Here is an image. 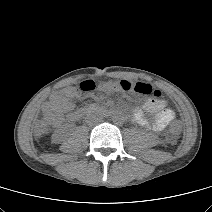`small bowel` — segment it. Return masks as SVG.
Returning a JSON list of instances; mask_svg holds the SVG:
<instances>
[{
  "instance_id": "obj_1",
  "label": "small bowel",
  "mask_w": 212,
  "mask_h": 212,
  "mask_svg": "<svg viewBox=\"0 0 212 212\" xmlns=\"http://www.w3.org/2000/svg\"><path fill=\"white\" fill-rule=\"evenodd\" d=\"M79 97L80 93L74 87L55 91L43 105L44 118L54 125L61 124L64 119L69 122L76 121L79 118V112H73L74 104L71 99ZM146 113L154 115L153 122L147 119ZM132 118L140 126L161 131L174 120L175 114L166 107L163 99L150 98L144 104L143 109L133 111Z\"/></svg>"
}]
</instances>
